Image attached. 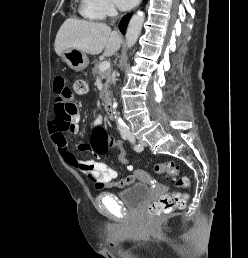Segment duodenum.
Here are the masks:
<instances>
[{"label":"duodenum","instance_id":"duodenum-1","mask_svg":"<svg viewBox=\"0 0 248 258\" xmlns=\"http://www.w3.org/2000/svg\"><path fill=\"white\" fill-rule=\"evenodd\" d=\"M105 110L106 114L109 118L113 117V106L110 100L105 101Z\"/></svg>","mask_w":248,"mask_h":258}]
</instances>
